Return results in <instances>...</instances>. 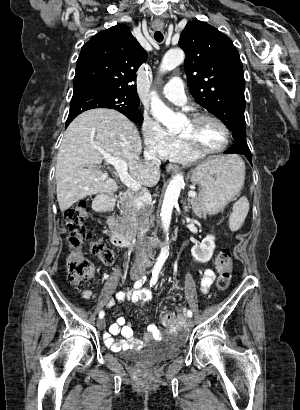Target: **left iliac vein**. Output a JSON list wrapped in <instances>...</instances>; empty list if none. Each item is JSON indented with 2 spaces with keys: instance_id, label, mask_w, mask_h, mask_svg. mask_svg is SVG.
<instances>
[{
  "instance_id": "obj_1",
  "label": "left iliac vein",
  "mask_w": 300,
  "mask_h": 410,
  "mask_svg": "<svg viewBox=\"0 0 300 410\" xmlns=\"http://www.w3.org/2000/svg\"><path fill=\"white\" fill-rule=\"evenodd\" d=\"M185 320H186V323L189 325V326H192L193 325V320L189 317V318H185Z\"/></svg>"
}]
</instances>
